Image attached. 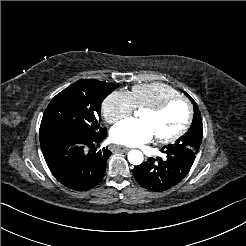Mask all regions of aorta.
I'll use <instances>...</instances> for the list:
<instances>
[{"instance_id": "aorta-1", "label": "aorta", "mask_w": 246, "mask_h": 246, "mask_svg": "<svg viewBox=\"0 0 246 246\" xmlns=\"http://www.w3.org/2000/svg\"><path fill=\"white\" fill-rule=\"evenodd\" d=\"M128 160L132 165H140L143 162V153L140 150H131L128 153Z\"/></svg>"}]
</instances>
